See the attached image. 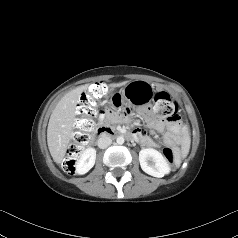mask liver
<instances>
[{"mask_svg":"<svg viewBox=\"0 0 238 238\" xmlns=\"http://www.w3.org/2000/svg\"><path fill=\"white\" fill-rule=\"evenodd\" d=\"M123 81L111 84V87H120L127 84ZM87 85L79 86L65 94L53 110L47 128V144L50 154L56 163H61L75 126V110L81 94L87 89Z\"/></svg>","mask_w":238,"mask_h":238,"instance_id":"obj_1","label":"liver"}]
</instances>
